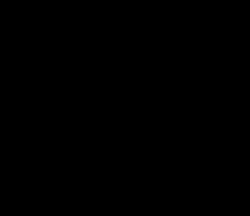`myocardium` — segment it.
I'll use <instances>...</instances> for the list:
<instances>
[{
  "instance_id": "1",
  "label": "myocardium",
  "mask_w": 250,
  "mask_h": 216,
  "mask_svg": "<svg viewBox=\"0 0 250 216\" xmlns=\"http://www.w3.org/2000/svg\"><path fill=\"white\" fill-rule=\"evenodd\" d=\"M162 70H163V73H164V82L161 85L160 90L163 92L168 88V86H169V84L171 82L172 71H171V68L169 66H167V65H164L162 67Z\"/></svg>"
}]
</instances>
